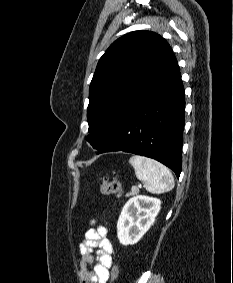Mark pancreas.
<instances>
[{
  "label": "pancreas",
  "instance_id": "obj_1",
  "mask_svg": "<svg viewBox=\"0 0 233 283\" xmlns=\"http://www.w3.org/2000/svg\"><path fill=\"white\" fill-rule=\"evenodd\" d=\"M139 193V190L137 187H132L131 192L127 194V196H134Z\"/></svg>",
  "mask_w": 233,
  "mask_h": 283
}]
</instances>
